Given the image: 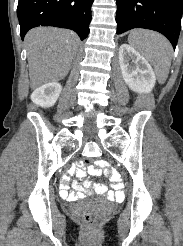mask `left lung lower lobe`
I'll use <instances>...</instances> for the list:
<instances>
[{
  "mask_svg": "<svg viewBox=\"0 0 183 246\" xmlns=\"http://www.w3.org/2000/svg\"><path fill=\"white\" fill-rule=\"evenodd\" d=\"M117 34L133 28L162 33L175 49L181 29L183 0H116Z\"/></svg>",
  "mask_w": 183,
  "mask_h": 246,
  "instance_id": "left-lung-lower-lobe-1",
  "label": "left lung lower lobe"
}]
</instances>
